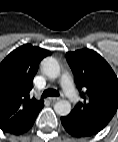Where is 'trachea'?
Instances as JSON below:
<instances>
[{"mask_svg": "<svg viewBox=\"0 0 118 142\" xmlns=\"http://www.w3.org/2000/svg\"><path fill=\"white\" fill-rule=\"evenodd\" d=\"M59 93L56 90L50 89V90H45L43 92L42 97H48V96H58Z\"/></svg>", "mask_w": 118, "mask_h": 142, "instance_id": "3493384b", "label": "trachea"}]
</instances>
